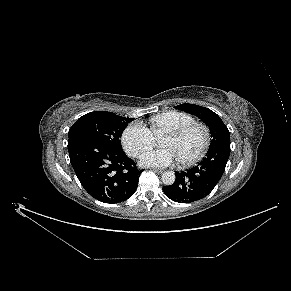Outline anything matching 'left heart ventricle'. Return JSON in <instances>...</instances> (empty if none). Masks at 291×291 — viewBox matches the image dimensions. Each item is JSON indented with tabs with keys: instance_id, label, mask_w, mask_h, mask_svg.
I'll use <instances>...</instances> for the list:
<instances>
[{
	"instance_id": "obj_1",
	"label": "left heart ventricle",
	"mask_w": 291,
	"mask_h": 291,
	"mask_svg": "<svg viewBox=\"0 0 291 291\" xmlns=\"http://www.w3.org/2000/svg\"><path fill=\"white\" fill-rule=\"evenodd\" d=\"M203 142V133L196 129L181 138L164 136L161 140V146L171 148L178 160L192 157L200 149Z\"/></svg>"
}]
</instances>
